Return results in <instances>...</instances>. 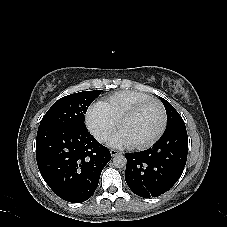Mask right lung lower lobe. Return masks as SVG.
<instances>
[{
	"label": "right lung lower lobe",
	"mask_w": 227,
	"mask_h": 227,
	"mask_svg": "<svg viewBox=\"0 0 227 227\" xmlns=\"http://www.w3.org/2000/svg\"><path fill=\"white\" fill-rule=\"evenodd\" d=\"M39 171L53 192L65 201L81 203L95 192L110 151L86 126H40L36 139Z\"/></svg>",
	"instance_id": "obj_1"
}]
</instances>
